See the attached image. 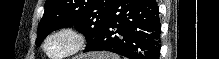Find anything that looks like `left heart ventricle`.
Listing matches in <instances>:
<instances>
[{"mask_svg":"<svg viewBox=\"0 0 219 59\" xmlns=\"http://www.w3.org/2000/svg\"><path fill=\"white\" fill-rule=\"evenodd\" d=\"M72 46V41L67 36H57L49 41L47 50L50 54L61 55Z\"/></svg>","mask_w":219,"mask_h":59,"instance_id":"left-heart-ventricle-1","label":"left heart ventricle"}]
</instances>
